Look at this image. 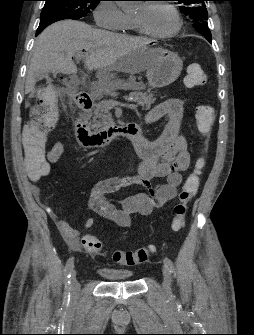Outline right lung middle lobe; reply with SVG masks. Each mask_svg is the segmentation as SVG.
I'll list each match as a JSON object with an SVG mask.
<instances>
[{
	"instance_id": "right-lung-middle-lobe-1",
	"label": "right lung middle lobe",
	"mask_w": 254,
	"mask_h": 335,
	"mask_svg": "<svg viewBox=\"0 0 254 335\" xmlns=\"http://www.w3.org/2000/svg\"><path fill=\"white\" fill-rule=\"evenodd\" d=\"M41 19L49 17H63L79 19L94 9L100 0H44Z\"/></svg>"
}]
</instances>
